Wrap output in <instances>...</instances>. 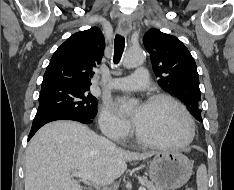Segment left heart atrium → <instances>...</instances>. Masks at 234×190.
<instances>
[{"mask_svg": "<svg viewBox=\"0 0 234 190\" xmlns=\"http://www.w3.org/2000/svg\"><path fill=\"white\" fill-rule=\"evenodd\" d=\"M125 103H126L125 100H120V101H119L120 107H123V106L125 105ZM143 106H144V105H143ZM143 106H141V107H143Z\"/></svg>", "mask_w": 234, "mask_h": 190, "instance_id": "1", "label": "left heart atrium"}]
</instances>
